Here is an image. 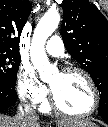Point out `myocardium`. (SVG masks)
Instances as JSON below:
<instances>
[{
  "label": "myocardium",
  "mask_w": 108,
  "mask_h": 127,
  "mask_svg": "<svg viewBox=\"0 0 108 127\" xmlns=\"http://www.w3.org/2000/svg\"><path fill=\"white\" fill-rule=\"evenodd\" d=\"M60 73H62V74L79 73L84 77V79L86 80V82L90 88L91 95H92L91 106L87 111H85L83 113L67 112L60 107L52 88H50V102H49L50 107L60 115L67 116V117H73V118H84V117H87V116H90L91 114H93L98 107L99 94H98L96 84H95L94 80L92 79L91 75L83 68L76 67V66L65 67L64 69L61 70Z\"/></svg>",
  "instance_id": "f54148a6"
}]
</instances>
